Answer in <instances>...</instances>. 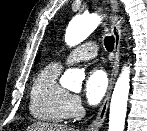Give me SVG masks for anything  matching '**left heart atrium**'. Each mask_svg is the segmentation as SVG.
Here are the masks:
<instances>
[{"label": "left heart atrium", "instance_id": "1", "mask_svg": "<svg viewBox=\"0 0 147 131\" xmlns=\"http://www.w3.org/2000/svg\"><path fill=\"white\" fill-rule=\"evenodd\" d=\"M108 79L101 68L91 69L85 79L84 94L91 105L98 104L106 93Z\"/></svg>", "mask_w": 147, "mask_h": 131}]
</instances>
